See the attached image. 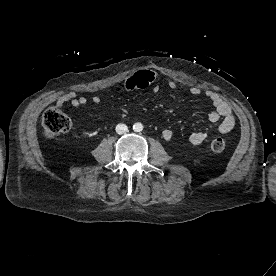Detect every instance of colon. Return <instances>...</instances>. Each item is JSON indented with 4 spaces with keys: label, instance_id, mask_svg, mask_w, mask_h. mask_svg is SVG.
Segmentation results:
<instances>
[{
    "label": "colon",
    "instance_id": "obj_1",
    "mask_svg": "<svg viewBox=\"0 0 276 276\" xmlns=\"http://www.w3.org/2000/svg\"><path fill=\"white\" fill-rule=\"evenodd\" d=\"M42 130L47 138H54L67 132L71 128V120L58 107H49L42 116ZM214 153H221L226 148V142L223 138H214L209 145Z\"/></svg>",
    "mask_w": 276,
    "mask_h": 276
}]
</instances>
